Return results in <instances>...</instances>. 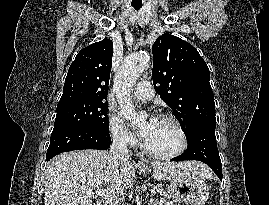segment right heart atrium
Returning a JSON list of instances; mask_svg holds the SVG:
<instances>
[{"label": "right heart atrium", "instance_id": "1", "mask_svg": "<svg viewBox=\"0 0 269 205\" xmlns=\"http://www.w3.org/2000/svg\"><path fill=\"white\" fill-rule=\"evenodd\" d=\"M107 128L111 138L120 145L133 147L136 145L137 140L133 134L128 130L122 118L110 112L107 117Z\"/></svg>", "mask_w": 269, "mask_h": 205}]
</instances>
